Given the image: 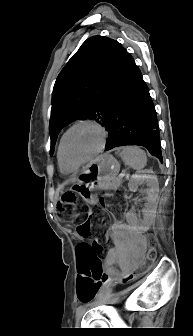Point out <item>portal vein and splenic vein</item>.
<instances>
[{
	"label": "portal vein and splenic vein",
	"instance_id": "18ae733b",
	"mask_svg": "<svg viewBox=\"0 0 193 336\" xmlns=\"http://www.w3.org/2000/svg\"><path fill=\"white\" fill-rule=\"evenodd\" d=\"M125 176V173H121L119 177L123 178Z\"/></svg>",
	"mask_w": 193,
	"mask_h": 336
}]
</instances>
